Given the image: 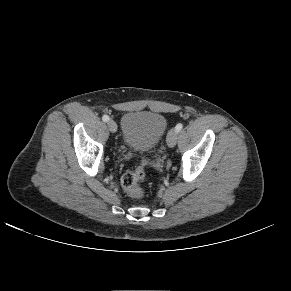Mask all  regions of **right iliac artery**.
<instances>
[{
	"label": "right iliac artery",
	"instance_id": "obj_1",
	"mask_svg": "<svg viewBox=\"0 0 291 291\" xmlns=\"http://www.w3.org/2000/svg\"><path fill=\"white\" fill-rule=\"evenodd\" d=\"M109 116H107V115H103V117H102V120L104 121V122H108L109 121Z\"/></svg>",
	"mask_w": 291,
	"mask_h": 291
}]
</instances>
